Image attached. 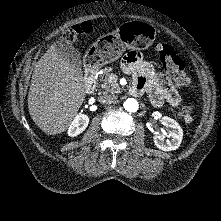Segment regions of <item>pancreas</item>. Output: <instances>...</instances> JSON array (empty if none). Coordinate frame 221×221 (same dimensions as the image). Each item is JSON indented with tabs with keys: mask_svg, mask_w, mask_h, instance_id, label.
I'll return each instance as SVG.
<instances>
[{
	"mask_svg": "<svg viewBox=\"0 0 221 221\" xmlns=\"http://www.w3.org/2000/svg\"><path fill=\"white\" fill-rule=\"evenodd\" d=\"M112 73V68L111 67H105L102 70L101 77L102 79L100 80L101 88L105 92H111V93H120L122 91V88L119 87L116 81H110L109 77Z\"/></svg>",
	"mask_w": 221,
	"mask_h": 221,
	"instance_id": "pancreas-1",
	"label": "pancreas"
}]
</instances>
